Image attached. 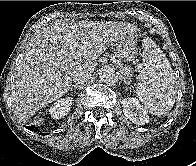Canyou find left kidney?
<instances>
[{"instance_id": "obj_1", "label": "left kidney", "mask_w": 196, "mask_h": 166, "mask_svg": "<svg viewBox=\"0 0 196 166\" xmlns=\"http://www.w3.org/2000/svg\"><path fill=\"white\" fill-rule=\"evenodd\" d=\"M125 116L134 124L144 125L149 122V116L146 109L140 105L136 98H125L121 101ZM136 108L137 111L133 112Z\"/></svg>"}]
</instances>
